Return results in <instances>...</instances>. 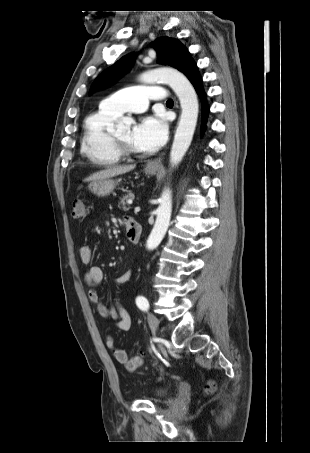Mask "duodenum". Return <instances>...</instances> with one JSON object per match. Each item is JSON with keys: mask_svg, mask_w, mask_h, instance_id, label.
Segmentation results:
<instances>
[{"mask_svg": "<svg viewBox=\"0 0 310 453\" xmlns=\"http://www.w3.org/2000/svg\"><path fill=\"white\" fill-rule=\"evenodd\" d=\"M126 235L131 243H138L141 237L140 224L135 220L128 221L126 224Z\"/></svg>", "mask_w": 310, "mask_h": 453, "instance_id": "410a0bca", "label": "duodenum"}]
</instances>
